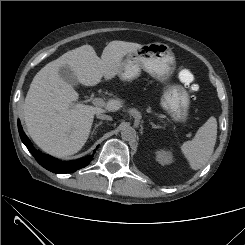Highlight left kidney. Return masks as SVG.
<instances>
[{
    "instance_id": "obj_1",
    "label": "left kidney",
    "mask_w": 245,
    "mask_h": 245,
    "mask_svg": "<svg viewBox=\"0 0 245 245\" xmlns=\"http://www.w3.org/2000/svg\"><path fill=\"white\" fill-rule=\"evenodd\" d=\"M157 161L162 165H167L173 162V155L171 151L168 150H158L156 152Z\"/></svg>"
}]
</instances>
